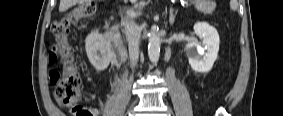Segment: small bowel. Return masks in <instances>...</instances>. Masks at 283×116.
<instances>
[{
    "instance_id": "c3829d8e",
    "label": "small bowel",
    "mask_w": 283,
    "mask_h": 116,
    "mask_svg": "<svg viewBox=\"0 0 283 116\" xmlns=\"http://www.w3.org/2000/svg\"><path fill=\"white\" fill-rule=\"evenodd\" d=\"M54 57L50 54V61H54ZM52 74H58L57 72L55 71H51L50 72V75ZM100 115V111L98 109H92V115L91 116H99Z\"/></svg>"
}]
</instances>
